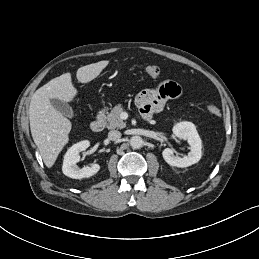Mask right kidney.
Listing matches in <instances>:
<instances>
[{
	"label": "right kidney",
	"instance_id": "1",
	"mask_svg": "<svg viewBox=\"0 0 259 259\" xmlns=\"http://www.w3.org/2000/svg\"><path fill=\"white\" fill-rule=\"evenodd\" d=\"M90 146V142L85 140L74 144L68 149L64 156L62 171L73 179L89 178L100 170L99 164H91L90 166L78 168L77 163L80 160L79 153L86 150Z\"/></svg>",
	"mask_w": 259,
	"mask_h": 259
}]
</instances>
